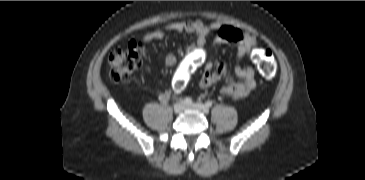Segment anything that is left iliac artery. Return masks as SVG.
<instances>
[{"label":"left iliac artery","instance_id":"obj_1","mask_svg":"<svg viewBox=\"0 0 365 180\" xmlns=\"http://www.w3.org/2000/svg\"><path fill=\"white\" fill-rule=\"evenodd\" d=\"M205 105L209 108V107H211L212 106V101H207L206 103H205Z\"/></svg>","mask_w":365,"mask_h":180}]
</instances>
